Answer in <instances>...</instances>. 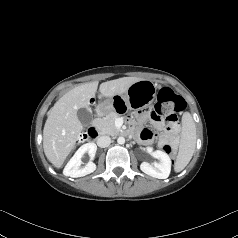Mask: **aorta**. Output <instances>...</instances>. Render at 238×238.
Wrapping results in <instances>:
<instances>
[{
    "mask_svg": "<svg viewBox=\"0 0 238 238\" xmlns=\"http://www.w3.org/2000/svg\"><path fill=\"white\" fill-rule=\"evenodd\" d=\"M117 143L120 144V145L124 144L125 143V138L124 137H118Z\"/></svg>",
    "mask_w": 238,
    "mask_h": 238,
    "instance_id": "1",
    "label": "aorta"
}]
</instances>
